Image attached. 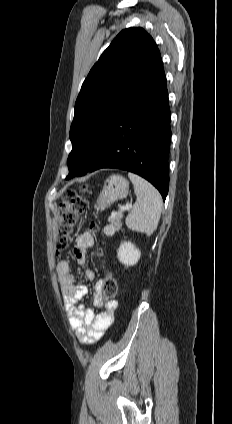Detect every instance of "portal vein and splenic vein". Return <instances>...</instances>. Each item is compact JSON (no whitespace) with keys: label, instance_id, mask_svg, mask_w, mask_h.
Returning a JSON list of instances; mask_svg holds the SVG:
<instances>
[{"label":"portal vein and splenic vein","instance_id":"obj_1","mask_svg":"<svg viewBox=\"0 0 232 424\" xmlns=\"http://www.w3.org/2000/svg\"><path fill=\"white\" fill-rule=\"evenodd\" d=\"M131 208H132V204L131 203H128L125 206H120L119 207V211L120 212H124L126 210H130ZM114 215H116V213H112V216H114Z\"/></svg>","mask_w":232,"mask_h":424}]
</instances>
